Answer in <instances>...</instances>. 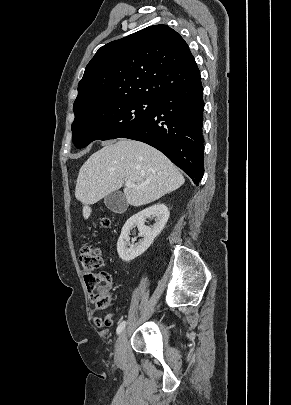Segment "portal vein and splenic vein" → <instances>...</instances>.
I'll list each match as a JSON object with an SVG mask.
<instances>
[{
	"mask_svg": "<svg viewBox=\"0 0 291 405\" xmlns=\"http://www.w3.org/2000/svg\"><path fill=\"white\" fill-rule=\"evenodd\" d=\"M125 185H126L127 187H135V185L133 184V182L130 181V180H127V181L125 182Z\"/></svg>",
	"mask_w": 291,
	"mask_h": 405,
	"instance_id": "18ae733b",
	"label": "portal vein and splenic vein"
}]
</instances>
